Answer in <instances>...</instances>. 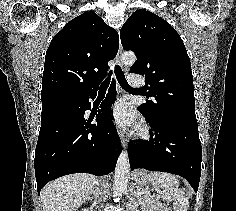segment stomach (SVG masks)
<instances>
[{
  "instance_id": "1",
  "label": "stomach",
  "mask_w": 236,
  "mask_h": 211,
  "mask_svg": "<svg viewBox=\"0 0 236 211\" xmlns=\"http://www.w3.org/2000/svg\"><path fill=\"white\" fill-rule=\"evenodd\" d=\"M134 180L141 189H144V187L149 183L148 174L142 170L134 173Z\"/></svg>"
}]
</instances>
